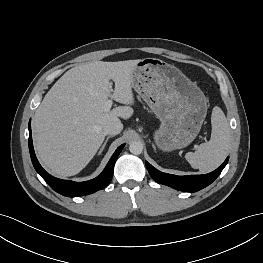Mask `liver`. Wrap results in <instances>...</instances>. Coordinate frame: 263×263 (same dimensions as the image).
Returning <instances> with one entry per match:
<instances>
[{
	"label": "liver",
	"mask_w": 263,
	"mask_h": 263,
	"mask_svg": "<svg viewBox=\"0 0 263 263\" xmlns=\"http://www.w3.org/2000/svg\"><path fill=\"white\" fill-rule=\"evenodd\" d=\"M137 62L81 64L68 70L48 91L35 112L33 135L41 161L53 174H78L104 141V127L133 115L132 73ZM109 98L125 106L106 112L103 105Z\"/></svg>",
	"instance_id": "obj_1"
}]
</instances>
